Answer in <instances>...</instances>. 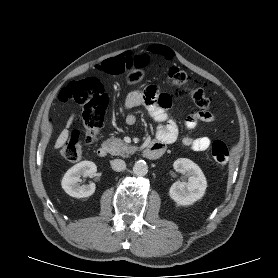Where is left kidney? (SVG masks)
Instances as JSON below:
<instances>
[{
  "label": "left kidney",
  "mask_w": 278,
  "mask_h": 278,
  "mask_svg": "<svg viewBox=\"0 0 278 278\" xmlns=\"http://www.w3.org/2000/svg\"><path fill=\"white\" fill-rule=\"evenodd\" d=\"M173 166L175 171L186 173L188 181L175 182L170 187L169 195L178 205H192L204 196L207 188L206 178L200 167L189 159H177Z\"/></svg>",
  "instance_id": "obj_1"
}]
</instances>
